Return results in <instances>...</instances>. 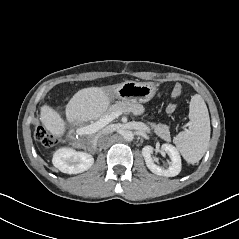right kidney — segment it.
Returning a JSON list of instances; mask_svg holds the SVG:
<instances>
[{
    "mask_svg": "<svg viewBox=\"0 0 239 239\" xmlns=\"http://www.w3.org/2000/svg\"><path fill=\"white\" fill-rule=\"evenodd\" d=\"M53 165L63 173L79 174L88 170L94 163L93 157L72 148H61L54 153Z\"/></svg>",
    "mask_w": 239,
    "mask_h": 239,
    "instance_id": "obj_1",
    "label": "right kidney"
}]
</instances>
